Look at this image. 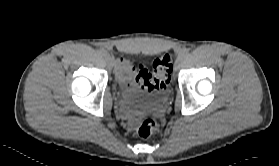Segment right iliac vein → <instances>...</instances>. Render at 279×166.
Returning a JSON list of instances; mask_svg holds the SVG:
<instances>
[{
    "label": "right iliac vein",
    "instance_id": "obj_1",
    "mask_svg": "<svg viewBox=\"0 0 279 166\" xmlns=\"http://www.w3.org/2000/svg\"><path fill=\"white\" fill-rule=\"evenodd\" d=\"M105 60H106V64L109 68H112L114 66V60L110 55H105Z\"/></svg>",
    "mask_w": 279,
    "mask_h": 166
}]
</instances>
